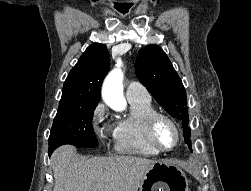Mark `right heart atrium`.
<instances>
[{"label": "right heart atrium", "instance_id": "1", "mask_svg": "<svg viewBox=\"0 0 251 191\" xmlns=\"http://www.w3.org/2000/svg\"><path fill=\"white\" fill-rule=\"evenodd\" d=\"M90 126L95 137L105 146H108L109 141L114 139V133L108 121V109L104 102H98L92 110Z\"/></svg>", "mask_w": 251, "mask_h": 191}]
</instances>
